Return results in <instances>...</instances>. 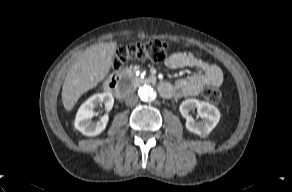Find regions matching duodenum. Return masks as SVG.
Listing matches in <instances>:
<instances>
[{"mask_svg":"<svg viewBox=\"0 0 292 192\" xmlns=\"http://www.w3.org/2000/svg\"><path fill=\"white\" fill-rule=\"evenodd\" d=\"M106 88L109 92L115 95L117 98H122L124 95V90L122 88V77L120 75H115L109 79ZM159 92L162 96H166L171 91V86L169 83L161 82L158 85Z\"/></svg>","mask_w":292,"mask_h":192,"instance_id":"1","label":"duodenum"}]
</instances>
